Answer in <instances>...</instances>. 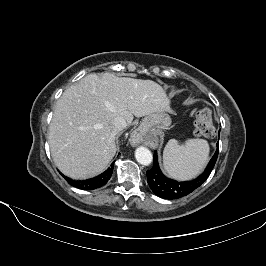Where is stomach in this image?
<instances>
[{
	"instance_id": "obj_1",
	"label": "stomach",
	"mask_w": 266,
	"mask_h": 266,
	"mask_svg": "<svg viewBox=\"0 0 266 266\" xmlns=\"http://www.w3.org/2000/svg\"><path fill=\"white\" fill-rule=\"evenodd\" d=\"M171 124V118L166 111H158L153 114L147 115L143 120L139 127V131L144 135H148L149 133L166 129Z\"/></svg>"
}]
</instances>
